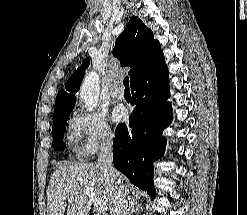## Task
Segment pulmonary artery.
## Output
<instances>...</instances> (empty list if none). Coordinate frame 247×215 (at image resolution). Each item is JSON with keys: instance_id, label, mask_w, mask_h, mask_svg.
Instances as JSON below:
<instances>
[{"instance_id": "obj_1", "label": "pulmonary artery", "mask_w": 247, "mask_h": 215, "mask_svg": "<svg viewBox=\"0 0 247 215\" xmlns=\"http://www.w3.org/2000/svg\"><path fill=\"white\" fill-rule=\"evenodd\" d=\"M111 96L115 99L122 100L124 98V90L120 85L115 84L111 89Z\"/></svg>"}]
</instances>
